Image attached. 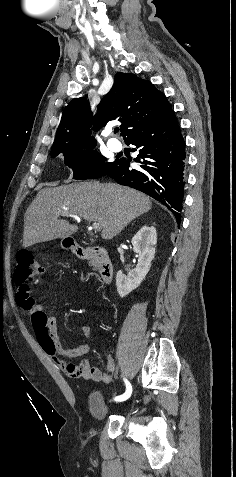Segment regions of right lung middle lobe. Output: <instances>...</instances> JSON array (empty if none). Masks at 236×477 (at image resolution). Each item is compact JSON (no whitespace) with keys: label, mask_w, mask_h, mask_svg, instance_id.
<instances>
[{"label":"right lung middle lobe","mask_w":236,"mask_h":477,"mask_svg":"<svg viewBox=\"0 0 236 477\" xmlns=\"http://www.w3.org/2000/svg\"><path fill=\"white\" fill-rule=\"evenodd\" d=\"M95 145H87L83 148L66 152H51V156H64L67 166L73 170V179L85 180L95 179L106 175L117 161L105 163V158L93 150Z\"/></svg>","instance_id":"right-lung-middle-lobe-1"}]
</instances>
